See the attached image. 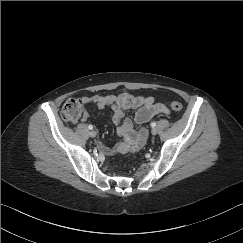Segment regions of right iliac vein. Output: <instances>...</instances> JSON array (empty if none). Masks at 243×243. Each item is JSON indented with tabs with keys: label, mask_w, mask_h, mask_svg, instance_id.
<instances>
[{
	"label": "right iliac vein",
	"mask_w": 243,
	"mask_h": 243,
	"mask_svg": "<svg viewBox=\"0 0 243 243\" xmlns=\"http://www.w3.org/2000/svg\"><path fill=\"white\" fill-rule=\"evenodd\" d=\"M96 131H94V130H92V131H90V133H89V135L92 137V138H94V137H96Z\"/></svg>",
	"instance_id": "1"
}]
</instances>
